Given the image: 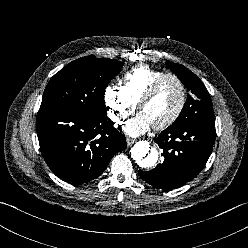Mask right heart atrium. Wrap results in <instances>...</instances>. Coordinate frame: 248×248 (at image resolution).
Segmentation results:
<instances>
[{
	"instance_id": "obj_1",
	"label": "right heart atrium",
	"mask_w": 248,
	"mask_h": 248,
	"mask_svg": "<svg viewBox=\"0 0 248 248\" xmlns=\"http://www.w3.org/2000/svg\"><path fill=\"white\" fill-rule=\"evenodd\" d=\"M108 115L115 125H121L136 108L124 92L122 86L109 85L104 92Z\"/></svg>"
}]
</instances>
